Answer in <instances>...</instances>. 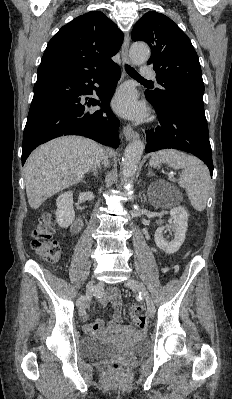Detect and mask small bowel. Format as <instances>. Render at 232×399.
<instances>
[{"mask_svg":"<svg viewBox=\"0 0 232 399\" xmlns=\"http://www.w3.org/2000/svg\"><path fill=\"white\" fill-rule=\"evenodd\" d=\"M110 300H115L114 303V318L112 321L108 323H103L101 321L92 324L88 322H83L80 324V328L86 331L91 340L100 338V337H108L115 331H123L127 332L129 327L126 324L121 322V303L119 301V291L117 289H109L106 293V296L103 299L104 303H107ZM80 313L83 316H87V310L84 306H80Z\"/></svg>","mask_w":232,"mask_h":399,"instance_id":"c3829d8e","label":"small bowel"}]
</instances>
